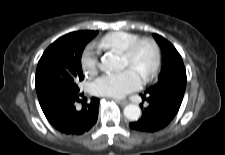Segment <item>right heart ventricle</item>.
Segmentation results:
<instances>
[{"mask_svg": "<svg viewBox=\"0 0 225 155\" xmlns=\"http://www.w3.org/2000/svg\"><path fill=\"white\" fill-rule=\"evenodd\" d=\"M137 38H139V36L132 32L112 31L105 34L96 43V47L100 51L121 53Z\"/></svg>", "mask_w": 225, "mask_h": 155, "instance_id": "e07e8e85", "label": "right heart ventricle"}]
</instances>
